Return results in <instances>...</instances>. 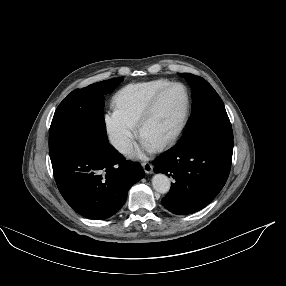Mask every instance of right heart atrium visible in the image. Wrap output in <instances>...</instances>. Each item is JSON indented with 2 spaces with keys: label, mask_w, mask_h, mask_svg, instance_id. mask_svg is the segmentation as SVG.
Listing matches in <instances>:
<instances>
[{
  "label": "right heart atrium",
  "mask_w": 286,
  "mask_h": 286,
  "mask_svg": "<svg viewBox=\"0 0 286 286\" xmlns=\"http://www.w3.org/2000/svg\"><path fill=\"white\" fill-rule=\"evenodd\" d=\"M104 124L108 139L117 150L127 151L134 144L135 125L116 107H112L106 112Z\"/></svg>",
  "instance_id": "1"
}]
</instances>
